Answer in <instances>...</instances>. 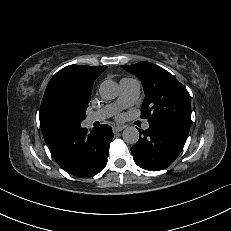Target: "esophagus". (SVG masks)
<instances>
[{
  "label": "esophagus",
  "instance_id": "1",
  "mask_svg": "<svg viewBox=\"0 0 231 231\" xmlns=\"http://www.w3.org/2000/svg\"><path fill=\"white\" fill-rule=\"evenodd\" d=\"M124 128H125V126H123V125L114 126V127H113V132H114V133L120 132V131H122Z\"/></svg>",
  "mask_w": 231,
  "mask_h": 231
}]
</instances>
